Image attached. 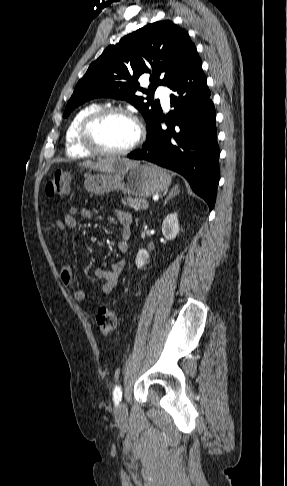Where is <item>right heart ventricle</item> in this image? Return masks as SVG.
I'll list each match as a JSON object with an SVG mask.
<instances>
[{"label": "right heart ventricle", "mask_w": 287, "mask_h": 486, "mask_svg": "<svg viewBox=\"0 0 287 486\" xmlns=\"http://www.w3.org/2000/svg\"><path fill=\"white\" fill-rule=\"evenodd\" d=\"M100 108L101 106L98 104L87 105L81 108L70 121L65 134V149L68 157L85 158L91 155L80 145L78 133L82 121Z\"/></svg>", "instance_id": "obj_1"}]
</instances>
